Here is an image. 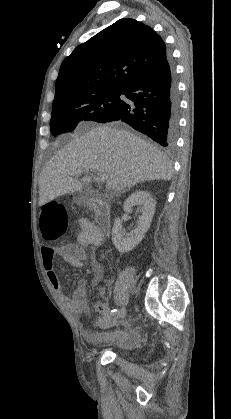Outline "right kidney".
I'll use <instances>...</instances> for the list:
<instances>
[{
    "label": "right kidney",
    "instance_id": "obj_1",
    "mask_svg": "<svg viewBox=\"0 0 231 419\" xmlns=\"http://www.w3.org/2000/svg\"><path fill=\"white\" fill-rule=\"evenodd\" d=\"M135 205L140 206L142 215L139 217L137 227L130 233H125L123 230L120 218L114 220L112 242L121 253L131 251L142 241L155 213L156 202L148 191L137 190L132 193L124 202L123 209L130 213Z\"/></svg>",
    "mask_w": 231,
    "mask_h": 419
}]
</instances>
